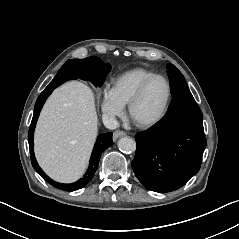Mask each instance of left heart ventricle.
<instances>
[{
	"mask_svg": "<svg viewBox=\"0 0 239 239\" xmlns=\"http://www.w3.org/2000/svg\"><path fill=\"white\" fill-rule=\"evenodd\" d=\"M168 97V87L163 79L150 84L135 108V116L142 121L155 119L164 109Z\"/></svg>",
	"mask_w": 239,
	"mask_h": 239,
	"instance_id": "1",
	"label": "left heart ventricle"
}]
</instances>
